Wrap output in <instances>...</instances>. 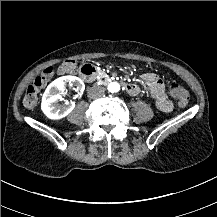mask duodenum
I'll return each mask as SVG.
<instances>
[{"label":"duodenum","instance_id":"410a0bca","mask_svg":"<svg viewBox=\"0 0 217 217\" xmlns=\"http://www.w3.org/2000/svg\"><path fill=\"white\" fill-rule=\"evenodd\" d=\"M80 74L81 77L86 81V82H92L95 79L96 75V67L92 64H84L80 68ZM125 90L130 94V95H135L138 93V87L137 85L133 83H128L124 86Z\"/></svg>","mask_w":217,"mask_h":217}]
</instances>
